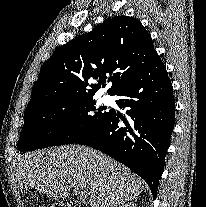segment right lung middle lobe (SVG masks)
Returning a JSON list of instances; mask_svg holds the SVG:
<instances>
[{"label": "right lung middle lobe", "instance_id": "obj_1", "mask_svg": "<svg viewBox=\"0 0 206 207\" xmlns=\"http://www.w3.org/2000/svg\"><path fill=\"white\" fill-rule=\"evenodd\" d=\"M92 98L48 102L24 112L25 123L17 148L31 151L84 138L110 114L105 107L96 108Z\"/></svg>", "mask_w": 206, "mask_h": 207}]
</instances>
